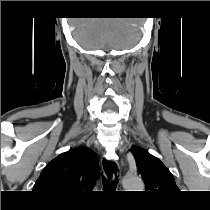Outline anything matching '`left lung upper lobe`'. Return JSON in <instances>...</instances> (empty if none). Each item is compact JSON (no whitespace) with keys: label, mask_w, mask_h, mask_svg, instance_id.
<instances>
[{"label":"left lung upper lobe","mask_w":210,"mask_h":210,"mask_svg":"<svg viewBox=\"0 0 210 210\" xmlns=\"http://www.w3.org/2000/svg\"><path fill=\"white\" fill-rule=\"evenodd\" d=\"M130 150L147 192L172 194L178 191L173 175L158 158L138 146H132Z\"/></svg>","instance_id":"obj_1"}]
</instances>
